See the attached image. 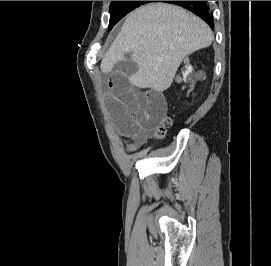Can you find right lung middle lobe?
<instances>
[{
  "label": "right lung middle lobe",
  "instance_id": "1",
  "mask_svg": "<svg viewBox=\"0 0 271 266\" xmlns=\"http://www.w3.org/2000/svg\"><path fill=\"white\" fill-rule=\"evenodd\" d=\"M149 2L155 1H112L110 4V21L108 29L111 30L112 27L127 13Z\"/></svg>",
  "mask_w": 271,
  "mask_h": 266
}]
</instances>
